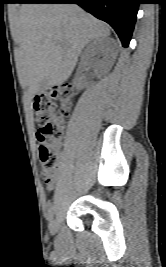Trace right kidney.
<instances>
[{
    "instance_id": "right-kidney-1",
    "label": "right kidney",
    "mask_w": 166,
    "mask_h": 267,
    "mask_svg": "<svg viewBox=\"0 0 166 267\" xmlns=\"http://www.w3.org/2000/svg\"><path fill=\"white\" fill-rule=\"evenodd\" d=\"M102 48V41L100 39H97L95 41H93L92 43H90L83 56H82V64L86 65L89 61V58L94 55L96 52H98L100 49ZM96 72H99V68L96 69ZM78 82V87L79 88H84L87 86V82L86 81H82V78H79L77 80Z\"/></svg>"
}]
</instances>
